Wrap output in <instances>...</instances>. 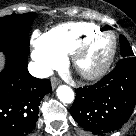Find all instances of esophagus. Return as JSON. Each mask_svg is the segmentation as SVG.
I'll use <instances>...</instances> for the list:
<instances>
[{
  "mask_svg": "<svg viewBox=\"0 0 136 136\" xmlns=\"http://www.w3.org/2000/svg\"><path fill=\"white\" fill-rule=\"evenodd\" d=\"M59 80L55 77L51 78V86H52V89H55L57 87V85L59 84Z\"/></svg>",
  "mask_w": 136,
  "mask_h": 136,
  "instance_id": "obj_1",
  "label": "esophagus"
}]
</instances>
